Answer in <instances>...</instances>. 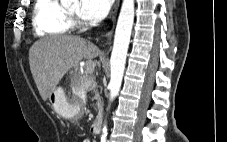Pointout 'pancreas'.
<instances>
[{
    "label": "pancreas",
    "instance_id": "pancreas-1",
    "mask_svg": "<svg viewBox=\"0 0 227 142\" xmlns=\"http://www.w3.org/2000/svg\"><path fill=\"white\" fill-rule=\"evenodd\" d=\"M89 80L91 81V87L95 88L96 87L95 80H94V78L91 75L89 76ZM94 92H95L94 99L97 100L96 106L100 109L101 108L100 96L98 94L97 89H95Z\"/></svg>",
    "mask_w": 227,
    "mask_h": 142
}]
</instances>
